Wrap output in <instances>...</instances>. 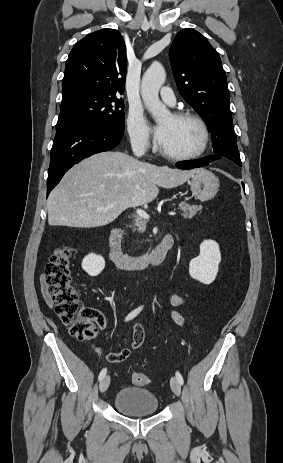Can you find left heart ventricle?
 Listing matches in <instances>:
<instances>
[{
  "label": "left heart ventricle",
  "instance_id": "left-heart-ventricle-1",
  "mask_svg": "<svg viewBox=\"0 0 283 463\" xmlns=\"http://www.w3.org/2000/svg\"><path fill=\"white\" fill-rule=\"evenodd\" d=\"M165 135L160 148L178 155L197 151L201 145L202 133L199 126L191 120H176L167 116L160 121Z\"/></svg>",
  "mask_w": 283,
  "mask_h": 463
}]
</instances>
